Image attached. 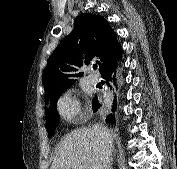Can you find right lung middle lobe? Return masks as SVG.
I'll return each mask as SVG.
<instances>
[{
  "label": "right lung middle lobe",
  "mask_w": 177,
  "mask_h": 169,
  "mask_svg": "<svg viewBox=\"0 0 177 169\" xmlns=\"http://www.w3.org/2000/svg\"><path fill=\"white\" fill-rule=\"evenodd\" d=\"M57 100L58 99L51 101V107L46 109V124L49 136H52L54 134L56 125L58 123V115L56 110ZM45 103L48 104L49 102Z\"/></svg>",
  "instance_id": "obj_1"
}]
</instances>
